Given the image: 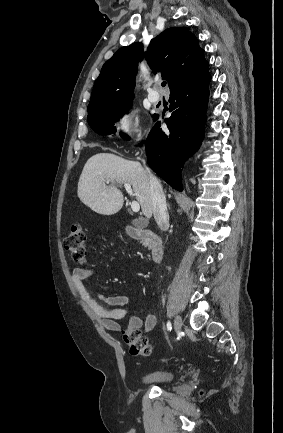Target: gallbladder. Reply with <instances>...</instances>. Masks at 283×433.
Returning a JSON list of instances; mask_svg holds the SVG:
<instances>
[{
	"instance_id": "gallbladder-1",
	"label": "gallbladder",
	"mask_w": 283,
	"mask_h": 433,
	"mask_svg": "<svg viewBox=\"0 0 283 433\" xmlns=\"http://www.w3.org/2000/svg\"><path fill=\"white\" fill-rule=\"evenodd\" d=\"M132 225L137 227V229H145V227H147V221H142V219H134V221H132Z\"/></svg>"
}]
</instances>
